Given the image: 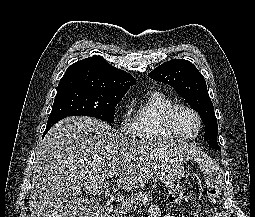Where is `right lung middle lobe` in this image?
<instances>
[{
    "label": "right lung middle lobe",
    "instance_id": "dd1d6c3e",
    "mask_svg": "<svg viewBox=\"0 0 255 217\" xmlns=\"http://www.w3.org/2000/svg\"><path fill=\"white\" fill-rule=\"evenodd\" d=\"M124 95L125 92H102L86 88L58 89L48 122L68 116H90L112 123L115 107Z\"/></svg>",
    "mask_w": 255,
    "mask_h": 217
}]
</instances>
